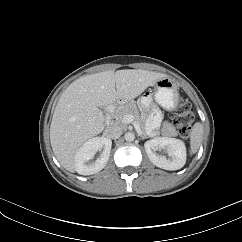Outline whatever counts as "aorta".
<instances>
[{
    "instance_id": "762f6f07",
    "label": "aorta",
    "mask_w": 242,
    "mask_h": 242,
    "mask_svg": "<svg viewBox=\"0 0 242 242\" xmlns=\"http://www.w3.org/2000/svg\"><path fill=\"white\" fill-rule=\"evenodd\" d=\"M124 137L128 142H132L135 139V135L132 132H127Z\"/></svg>"
}]
</instances>
